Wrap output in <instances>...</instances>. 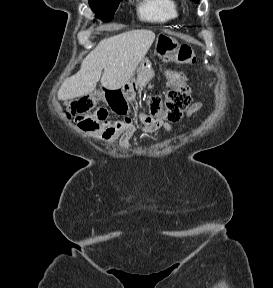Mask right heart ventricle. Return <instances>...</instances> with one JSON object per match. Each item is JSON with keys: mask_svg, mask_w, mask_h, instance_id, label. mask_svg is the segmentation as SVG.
<instances>
[{"mask_svg": "<svg viewBox=\"0 0 273 288\" xmlns=\"http://www.w3.org/2000/svg\"><path fill=\"white\" fill-rule=\"evenodd\" d=\"M138 11L146 21L164 23L178 16V5L175 0H143Z\"/></svg>", "mask_w": 273, "mask_h": 288, "instance_id": "1", "label": "right heart ventricle"}]
</instances>
